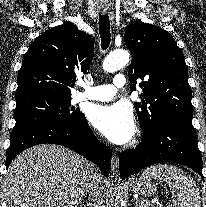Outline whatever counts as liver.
Segmentation results:
<instances>
[{"mask_svg":"<svg viewBox=\"0 0 206 207\" xmlns=\"http://www.w3.org/2000/svg\"><path fill=\"white\" fill-rule=\"evenodd\" d=\"M91 164L74 152L41 144L19 154L5 175L9 207H78L88 190ZM105 179L100 175V192Z\"/></svg>","mask_w":206,"mask_h":207,"instance_id":"1","label":"liver"}]
</instances>
